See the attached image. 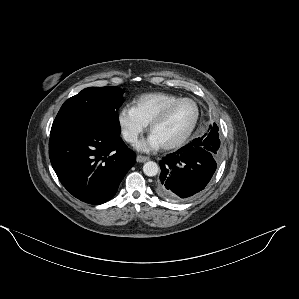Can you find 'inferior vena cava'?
I'll use <instances>...</instances> for the list:
<instances>
[{"label":"inferior vena cava","mask_w":299,"mask_h":299,"mask_svg":"<svg viewBox=\"0 0 299 299\" xmlns=\"http://www.w3.org/2000/svg\"><path fill=\"white\" fill-rule=\"evenodd\" d=\"M123 137L124 139L127 141V142H136L137 141V136L132 134V133H124L123 134Z\"/></svg>","instance_id":"1"}]
</instances>
